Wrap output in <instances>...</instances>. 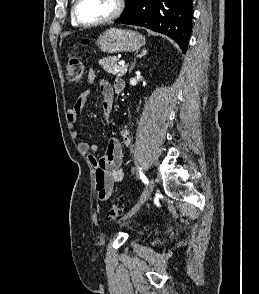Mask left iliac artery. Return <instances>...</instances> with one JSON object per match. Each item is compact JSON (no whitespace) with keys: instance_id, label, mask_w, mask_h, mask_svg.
<instances>
[{"instance_id":"left-iliac-artery-1","label":"left iliac artery","mask_w":259,"mask_h":294,"mask_svg":"<svg viewBox=\"0 0 259 294\" xmlns=\"http://www.w3.org/2000/svg\"><path fill=\"white\" fill-rule=\"evenodd\" d=\"M140 178L142 179V181L145 183V184H148V179L146 178V176L143 174V172L141 171V168H140Z\"/></svg>"}]
</instances>
